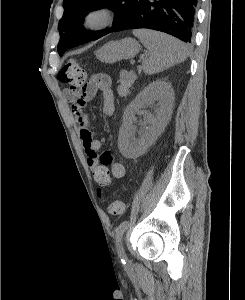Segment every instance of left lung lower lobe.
Listing matches in <instances>:
<instances>
[{
  "mask_svg": "<svg viewBox=\"0 0 245 300\" xmlns=\"http://www.w3.org/2000/svg\"><path fill=\"white\" fill-rule=\"evenodd\" d=\"M196 5L197 0H135L131 12L106 34L128 29L148 28L168 33L186 43H191ZM100 37L102 36L99 35L92 40Z\"/></svg>",
  "mask_w": 245,
  "mask_h": 300,
  "instance_id": "obj_1",
  "label": "left lung lower lobe"
}]
</instances>
